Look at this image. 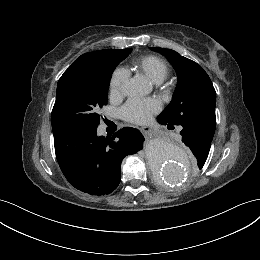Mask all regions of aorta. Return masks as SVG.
Masks as SVG:
<instances>
[{
	"label": "aorta",
	"mask_w": 260,
	"mask_h": 260,
	"mask_svg": "<svg viewBox=\"0 0 260 260\" xmlns=\"http://www.w3.org/2000/svg\"><path fill=\"white\" fill-rule=\"evenodd\" d=\"M150 86L141 78L129 79L123 86L127 96L148 94ZM145 153L154 176L167 185L181 183L192 172V162L187 151L169 137L152 138Z\"/></svg>",
	"instance_id": "aorta-1"
}]
</instances>
